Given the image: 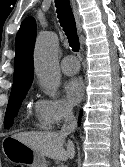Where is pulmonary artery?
Here are the masks:
<instances>
[{
  "instance_id": "pulmonary-artery-1",
  "label": "pulmonary artery",
  "mask_w": 125,
  "mask_h": 167,
  "mask_svg": "<svg viewBox=\"0 0 125 167\" xmlns=\"http://www.w3.org/2000/svg\"><path fill=\"white\" fill-rule=\"evenodd\" d=\"M60 68L67 75H74L79 72L80 64L78 59L73 55H67L62 58Z\"/></svg>"
}]
</instances>
